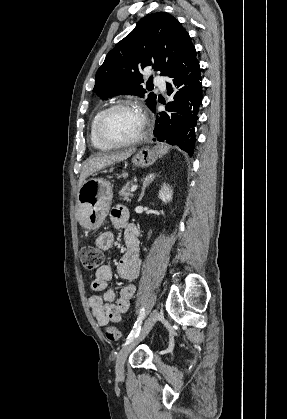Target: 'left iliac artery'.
<instances>
[{"label":"left iliac artery","mask_w":287,"mask_h":419,"mask_svg":"<svg viewBox=\"0 0 287 419\" xmlns=\"http://www.w3.org/2000/svg\"><path fill=\"white\" fill-rule=\"evenodd\" d=\"M144 315H145V309L142 308L141 311H140V315H139L137 321L135 322V325H134L132 331L130 332L125 344L130 342L134 337H136L139 334V332L141 330V324H142V321L144 319Z\"/></svg>","instance_id":"left-iliac-artery-1"}]
</instances>
